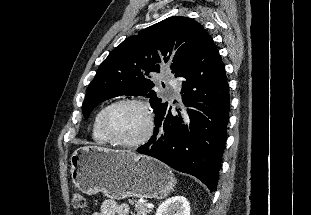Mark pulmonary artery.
I'll return each mask as SVG.
<instances>
[{
  "mask_svg": "<svg viewBox=\"0 0 311 215\" xmlns=\"http://www.w3.org/2000/svg\"><path fill=\"white\" fill-rule=\"evenodd\" d=\"M167 83L170 86L173 96L179 97L181 91V85L173 78H168Z\"/></svg>",
  "mask_w": 311,
  "mask_h": 215,
  "instance_id": "obj_1",
  "label": "pulmonary artery"
}]
</instances>
